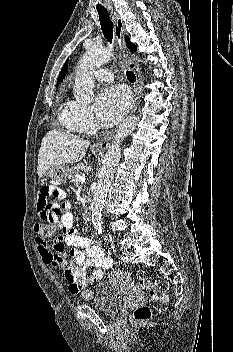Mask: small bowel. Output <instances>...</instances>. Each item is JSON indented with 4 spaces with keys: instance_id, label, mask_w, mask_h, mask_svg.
<instances>
[{
    "instance_id": "small-bowel-1",
    "label": "small bowel",
    "mask_w": 233,
    "mask_h": 352,
    "mask_svg": "<svg viewBox=\"0 0 233 352\" xmlns=\"http://www.w3.org/2000/svg\"><path fill=\"white\" fill-rule=\"evenodd\" d=\"M65 192L54 185H44L40 189L37 205L39 222L46 221L60 230L53 247L36 239L38 251L43 261L62 271L71 293H77L85 285L99 280L103 271L112 266V259L106 248L99 245L91 236L72 227L73 215ZM70 247L68 252L66 247ZM73 258V261L68 259ZM92 271L87 275L88 269Z\"/></svg>"
}]
</instances>
